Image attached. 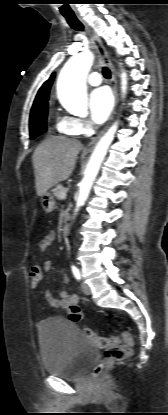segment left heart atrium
<instances>
[{
    "label": "left heart atrium",
    "instance_id": "left-heart-atrium-1",
    "mask_svg": "<svg viewBox=\"0 0 168 415\" xmlns=\"http://www.w3.org/2000/svg\"><path fill=\"white\" fill-rule=\"evenodd\" d=\"M113 107V98L110 91L105 88L95 89L89 98V109L92 120L102 124L109 117Z\"/></svg>",
    "mask_w": 168,
    "mask_h": 415
}]
</instances>
